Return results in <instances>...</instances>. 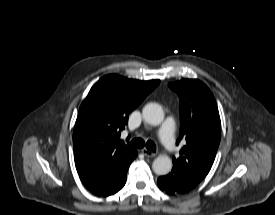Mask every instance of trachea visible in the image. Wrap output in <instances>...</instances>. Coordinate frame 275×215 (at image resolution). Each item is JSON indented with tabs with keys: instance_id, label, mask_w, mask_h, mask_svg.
Wrapping results in <instances>:
<instances>
[{
	"instance_id": "obj_1",
	"label": "trachea",
	"mask_w": 275,
	"mask_h": 215,
	"mask_svg": "<svg viewBox=\"0 0 275 215\" xmlns=\"http://www.w3.org/2000/svg\"><path fill=\"white\" fill-rule=\"evenodd\" d=\"M128 146L133 148H143L146 146V148L151 152H156V145L153 141L148 140L145 144L144 140L141 138H135L131 142L128 143Z\"/></svg>"
}]
</instances>
